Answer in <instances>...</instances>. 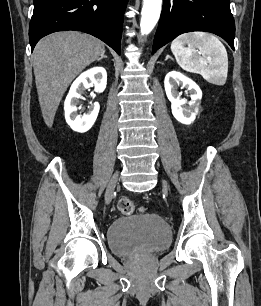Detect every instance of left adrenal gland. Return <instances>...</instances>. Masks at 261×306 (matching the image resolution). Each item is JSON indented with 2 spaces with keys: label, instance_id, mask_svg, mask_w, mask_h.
Returning <instances> with one entry per match:
<instances>
[{
  "label": "left adrenal gland",
  "instance_id": "obj_1",
  "mask_svg": "<svg viewBox=\"0 0 261 306\" xmlns=\"http://www.w3.org/2000/svg\"><path fill=\"white\" fill-rule=\"evenodd\" d=\"M167 59H171V57L169 55H167L165 60H167Z\"/></svg>",
  "mask_w": 261,
  "mask_h": 306
}]
</instances>
